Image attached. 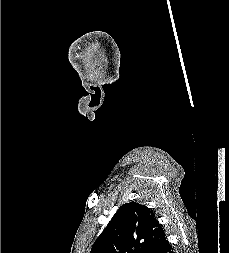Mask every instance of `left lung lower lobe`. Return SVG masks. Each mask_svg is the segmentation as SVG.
Listing matches in <instances>:
<instances>
[{
	"instance_id": "1",
	"label": "left lung lower lobe",
	"mask_w": 229,
	"mask_h": 253,
	"mask_svg": "<svg viewBox=\"0 0 229 253\" xmlns=\"http://www.w3.org/2000/svg\"><path fill=\"white\" fill-rule=\"evenodd\" d=\"M155 253H173V249L166 237L159 244Z\"/></svg>"
}]
</instances>
